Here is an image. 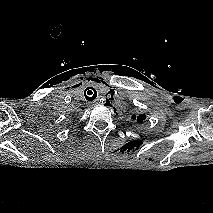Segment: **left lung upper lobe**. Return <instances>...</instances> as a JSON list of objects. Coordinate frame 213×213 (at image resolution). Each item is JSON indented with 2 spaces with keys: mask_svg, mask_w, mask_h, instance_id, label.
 I'll use <instances>...</instances> for the list:
<instances>
[{
  "mask_svg": "<svg viewBox=\"0 0 213 213\" xmlns=\"http://www.w3.org/2000/svg\"><path fill=\"white\" fill-rule=\"evenodd\" d=\"M145 118H146L145 115H138V116L133 115V116H132V119H133V120H136V121L139 122V123L142 122L143 120H145Z\"/></svg>",
  "mask_w": 213,
  "mask_h": 213,
  "instance_id": "1",
  "label": "left lung upper lobe"
}]
</instances>
